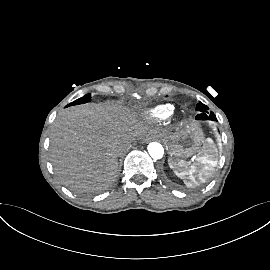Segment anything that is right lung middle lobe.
<instances>
[{
	"instance_id": "right-lung-middle-lobe-1",
	"label": "right lung middle lobe",
	"mask_w": 270,
	"mask_h": 270,
	"mask_svg": "<svg viewBox=\"0 0 270 270\" xmlns=\"http://www.w3.org/2000/svg\"><path fill=\"white\" fill-rule=\"evenodd\" d=\"M90 100H91V95L90 94H86L85 96H83V97L75 100L74 102L68 104L67 106H72V105L87 103V102H90Z\"/></svg>"
}]
</instances>
